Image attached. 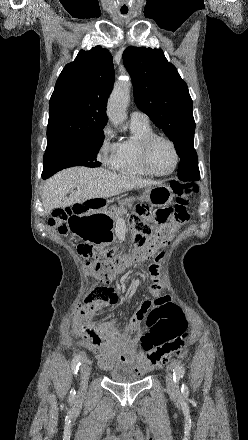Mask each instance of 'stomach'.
<instances>
[{"instance_id":"0dacf381","label":"stomach","mask_w":248,"mask_h":440,"mask_svg":"<svg viewBox=\"0 0 248 440\" xmlns=\"http://www.w3.org/2000/svg\"><path fill=\"white\" fill-rule=\"evenodd\" d=\"M173 194L171 189L163 184L144 188L141 199L152 206L162 207L169 204ZM85 201L86 204H75V213H80L81 218H70L69 230L74 237H79L84 246H113L114 218L110 216V209H102L104 198ZM125 199L120 200L123 204Z\"/></svg>"}]
</instances>
